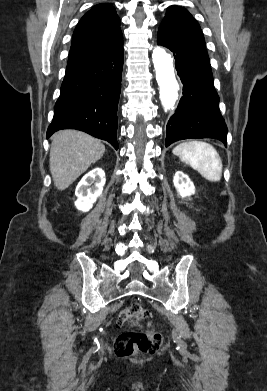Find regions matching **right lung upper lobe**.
I'll return each instance as SVG.
<instances>
[{
	"label": "right lung upper lobe",
	"mask_w": 267,
	"mask_h": 391,
	"mask_svg": "<svg viewBox=\"0 0 267 391\" xmlns=\"http://www.w3.org/2000/svg\"><path fill=\"white\" fill-rule=\"evenodd\" d=\"M123 45L120 19L109 3L92 7L73 33L68 64H74Z\"/></svg>",
	"instance_id": "right-lung-upper-lobe-1"
}]
</instances>
